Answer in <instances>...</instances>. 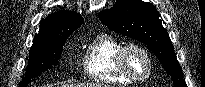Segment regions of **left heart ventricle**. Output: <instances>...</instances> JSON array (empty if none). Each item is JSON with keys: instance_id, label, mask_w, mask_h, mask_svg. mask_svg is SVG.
Returning a JSON list of instances; mask_svg holds the SVG:
<instances>
[{"instance_id": "obj_1", "label": "left heart ventricle", "mask_w": 205, "mask_h": 87, "mask_svg": "<svg viewBox=\"0 0 205 87\" xmlns=\"http://www.w3.org/2000/svg\"><path fill=\"white\" fill-rule=\"evenodd\" d=\"M128 70L137 77H143L148 72V61L138 50H130L125 57Z\"/></svg>"}]
</instances>
